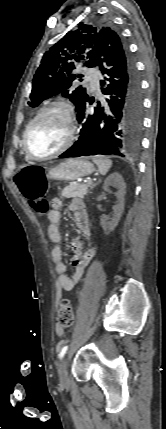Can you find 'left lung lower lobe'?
Returning a JSON list of instances; mask_svg holds the SVG:
<instances>
[{
    "label": "left lung lower lobe",
    "mask_w": 166,
    "mask_h": 429,
    "mask_svg": "<svg viewBox=\"0 0 166 429\" xmlns=\"http://www.w3.org/2000/svg\"><path fill=\"white\" fill-rule=\"evenodd\" d=\"M94 67L104 76L100 81L105 99L87 115V99L77 114L81 125L78 140L59 157L90 155L132 156L140 145L143 99L135 63L120 37L103 43Z\"/></svg>",
    "instance_id": "left-lung-lower-lobe-1"
}]
</instances>
